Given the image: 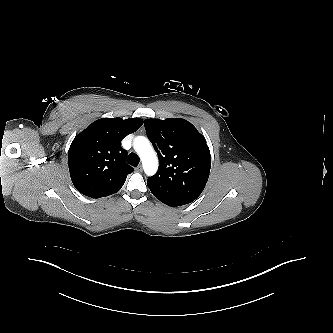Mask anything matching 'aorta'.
Returning a JSON list of instances; mask_svg holds the SVG:
<instances>
[{
	"label": "aorta",
	"mask_w": 333,
	"mask_h": 333,
	"mask_svg": "<svg viewBox=\"0 0 333 333\" xmlns=\"http://www.w3.org/2000/svg\"><path fill=\"white\" fill-rule=\"evenodd\" d=\"M133 146L142 160L146 175L151 176L155 174L158 169V158L149 140L144 136H137L134 139Z\"/></svg>",
	"instance_id": "obj_1"
}]
</instances>
